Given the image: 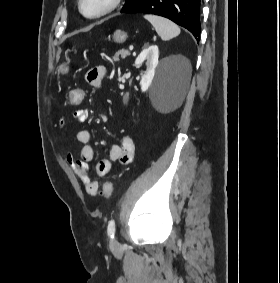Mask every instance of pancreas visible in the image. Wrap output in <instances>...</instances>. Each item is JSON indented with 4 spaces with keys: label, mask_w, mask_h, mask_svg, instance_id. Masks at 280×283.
<instances>
[{
    "label": "pancreas",
    "mask_w": 280,
    "mask_h": 283,
    "mask_svg": "<svg viewBox=\"0 0 280 283\" xmlns=\"http://www.w3.org/2000/svg\"><path fill=\"white\" fill-rule=\"evenodd\" d=\"M130 55L129 51L127 50H120L118 52L115 53V55L113 56V60L115 62H118L120 60V57L122 59H125L126 57H128Z\"/></svg>",
    "instance_id": "pancreas-1"
}]
</instances>
